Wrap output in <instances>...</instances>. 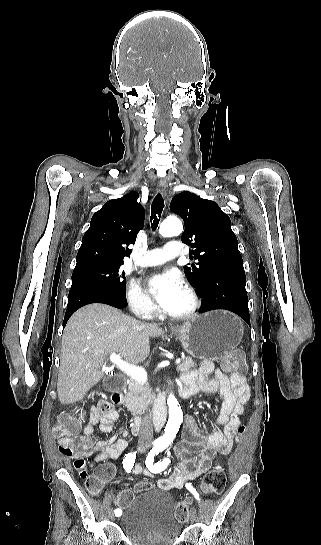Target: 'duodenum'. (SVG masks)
<instances>
[{"instance_id": "obj_1", "label": "duodenum", "mask_w": 321, "mask_h": 545, "mask_svg": "<svg viewBox=\"0 0 321 545\" xmlns=\"http://www.w3.org/2000/svg\"><path fill=\"white\" fill-rule=\"evenodd\" d=\"M105 388L111 394L114 402L121 400L124 380L119 375H109L105 380ZM168 391L159 394L154 401V409L147 417H134L131 423V432L138 435L144 424H150L154 429H161L166 419Z\"/></svg>"}]
</instances>
